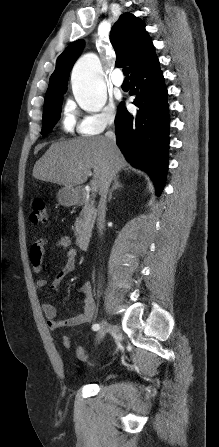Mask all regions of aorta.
Wrapping results in <instances>:
<instances>
[{"label": "aorta", "instance_id": "aorta-1", "mask_svg": "<svg viewBox=\"0 0 219 447\" xmlns=\"http://www.w3.org/2000/svg\"><path fill=\"white\" fill-rule=\"evenodd\" d=\"M72 89L79 106L89 112H99L106 104L107 93L97 55H83L71 75Z\"/></svg>", "mask_w": 219, "mask_h": 447}]
</instances>
